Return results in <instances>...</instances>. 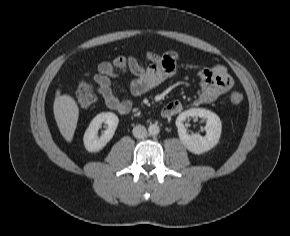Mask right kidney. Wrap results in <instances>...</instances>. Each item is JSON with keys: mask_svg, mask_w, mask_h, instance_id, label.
Here are the masks:
<instances>
[{"mask_svg": "<svg viewBox=\"0 0 290 236\" xmlns=\"http://www.w3.org/2000/svg\"><path fill=\"white\" fill-rule=\"evenodd\" d=\"M102 123L107 124V129L98 137V130ZM119 119L112 112H102L96 115L86 129L83 137L84 146L89 152H99L114 136Z\"/></svg>", "mask_w": 290, "mask_h": 236, "instance_id": "right-kidney-1", "label": "right kidney"}]
</instances>
